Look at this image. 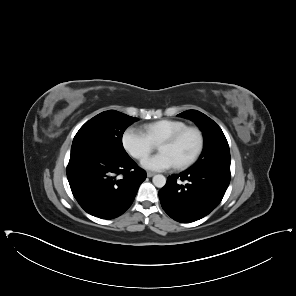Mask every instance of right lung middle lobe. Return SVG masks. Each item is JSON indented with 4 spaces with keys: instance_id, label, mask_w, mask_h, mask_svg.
I'll list each match as a JSON object with an SVG mask.
<instances>
[{
    "instance_id": "right-lung-middle-lobe-1",
    "label": "right lung middle lobe",
    "mask_w": 296,
    "mask_h": 296,
    "mask_svg": "<svg viewBox=\"0 0 296 296\" xmlns=\"http://www.w3.org/2000/svg\"><path fill=\"white\" fill-rule=\"evenodd\" d=\"M137 120L115 110L96 115L75 135L71 154L97 152L116 159L128 157L122 145V136L126 128Z\"/></svg>"
}]
</instances>
